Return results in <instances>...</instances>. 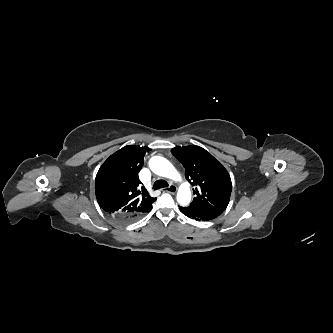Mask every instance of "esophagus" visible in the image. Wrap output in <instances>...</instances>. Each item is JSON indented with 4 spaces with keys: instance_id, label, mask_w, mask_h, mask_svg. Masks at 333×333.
<instances>
[{
    "instance_id": "34e87169",
    "label": "esophagus",
    "mask_w": 333,
    "mask_h": 333,
    "mask_svg": "<svg viewBox=\"0 0 333 333\" xmlns=\"http://www.w3.org/2000/svg\"><path fill=\"white\" fill-rule=\"evenodd\" d=\"M165 191L174 194L177 191V187L175 185H170Z\"/></svg>"
}]
</instances>
